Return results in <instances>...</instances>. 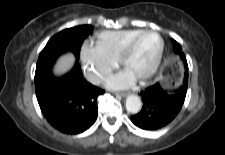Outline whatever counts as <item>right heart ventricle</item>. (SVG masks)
<instances>
[{
  "label": "right heart ventricle",
  "mask_w": 225,
  "mask_h": 155,
  "mask_svg": "<svg viewBox=\"0 0 225 155\" xmlns=\"http://www.w3.org/2000/svg\"><path fill=\"white\" fill-rule=\"evenodd\" d=\"M142 29L103 31L95 36V48L102 54L118 60L127 42Z\"/></svg>",
  "instance_id": "1"
}]
</instances>
